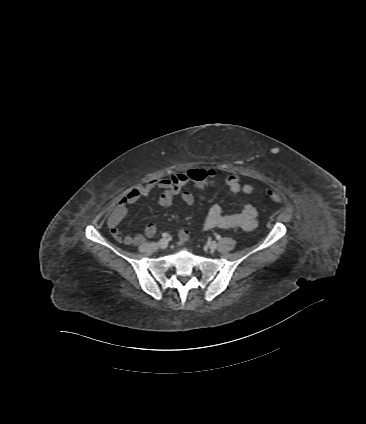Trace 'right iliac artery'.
Segmentation results:
<instances>
[{"mask_svg": "<svg viewBox=\"0 0 366 424\" xmlns=\"http://www.w3.org/2000/svg\"><path fill=\"white\" fill-rule=\"evenodd\" d=\"M162 236H163L164 238H166V237H168L169 235H168V233H163V234H162Z\"/></svg>", "mask_w": 366, "mask_h": 424, "instance_id": "obj_1", "label": "right iliac artery"}]
</instances>
